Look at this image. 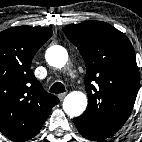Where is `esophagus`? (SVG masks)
Here are the masks:
<instances>
[{
    "label": "esophagus",
    "mask_w": 142,
    "mask_h": 142,
    "mask_svg": "<svg viewBox=\"0 0 142 142\" xmlns=\"http://www.w3.org/2000/svg\"><path fill=\"white\" fill-rule=\"evenodd\" d=\"M65 96H66V93H61L58 95V98L60 101H62L65 98Z\"/></svg>",
    "instance_id": "obj_1"
}]
</instances>
